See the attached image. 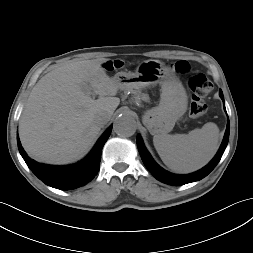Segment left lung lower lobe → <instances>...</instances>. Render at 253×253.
Returning <instances> with one entry per match:
<instances>
[{
  "instance_id": "left-lung-lower-lobe-1",
  "label": "left lung lower lobe",
  "mask_w": 253,
  "mask_h": 253,
  "mask_svg": "<svg viewBox=\"0 0 253 253\" xmlns=\"http://www.w3.org/2000/svg\"><path fill=\"white\" fill-rule=\"evenodd\" d=\"M219 95L223 100V94H222L221 90L219 92ZM224 109H225V106H224ZM225 111H226V109H225ZM229 130H230V125H229V119H228L224 139H223L222 144H221L217 154L215 155V157L204 168H202L194 173L187 174V175L172 174V173L164 170L162 167H160L153 160V158L151 157V155L147 151L140 134L137 135L136 142H137V147H138L140 156L142 158V161H143L144 165L146 166V168L151 172V174L157 180H159L165 184L180 186V185H184L187 183L201 180L202 178L206 177L215 168V166L220 161V159L225 151V148L228 144Z\"/></svg>"
}]
</instances>
